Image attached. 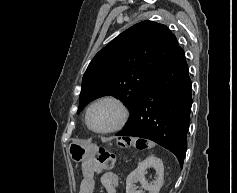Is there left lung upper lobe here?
Returning <instances> with one entry per match:
<instances>
[{
  "label": "left lung upper lobe",
  "instance_id": "1",
  "mask_svg": "<svg viewBox=\"0 0 237 193\" xmlns=\"http://www.w3.org/2000/svg\"><path fill=\"white\" fill-rule=\"evenodd\" d=\"M178 48L175 35L163 24L142 21L125 30L87 67L78 112L96 98L114 95L130 108V122L148 87Z\"/></svg>",
  "mask_w": 237,
  "mask_h": 193
}]
</instances>
